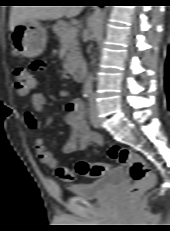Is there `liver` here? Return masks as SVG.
<instances>
[{
    "label": "liver",
    "instance_id": "obj_1",
    "mask_svg": "<svg viewBox=\"0 0 170 231\" xmlns=\"http://www.w3.org/2000/svg\"><path fill=\"white\" fill-rule=\"evenodd\" d=\"M83 6H13L9 27L14 28L27 21L54 20L61 17L71 18L82 11Z\"/></svg>",
    "mask_w": 170,
    "mask_h": 231
}]
</instances>
